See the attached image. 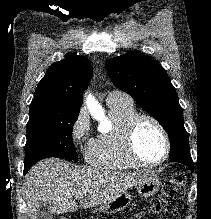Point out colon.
Masks as SVG:
<instances>
[{
	"mask_svg": "<svg viewBox=\"0 0 211 219\" xmlns=\"http://www.w3.org/2000/svg\"><path fill=\"white\" fill-rule=\"evenodd\" d=\"M185 194V178L176 172L165 184L160 198L154 200L146 209V213L175 215L181 208ZM59 219H70L60 217ZM139 219V218H137Z\"/></svg>",
	"mask_w": 211,
	"mask_h": 219,
	"instance_id": "obj_1",
	"label": "colon"
}]
</instances>
